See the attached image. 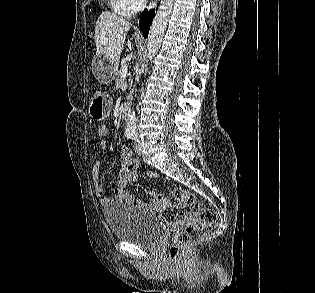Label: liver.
I'll list each match as a JSON object with an SVG mask.
<instances>
[{
	"label": "liver",
	"instance_id": "1",
	"mask_svg": "<svg viewBox=\"0 0 315 293\" xmlns=\"http://www.w3.org/2000/svg\"><path fill=\"white\" fill-rule=\"evenodd\" d=\"M131 23L111 12H103L95 25L97 54L103 55L111 64L117 65Z\"/></svg>",
	"mask_w": 315,
	"mask_h": 293
}]
</instances>
